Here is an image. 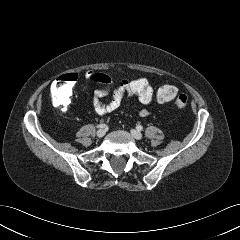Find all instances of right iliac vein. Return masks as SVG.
Here are the masks:
<instances>
[{"mask_svg":"<svg viewBox=\"0 0 240 240\" xmlns=\"http://www.w3.org/2000/svg\"><path fill=\"white\" fill-rule=\"evenodd\" d=\"M96 134L97 137L101 138L106 134V131L104 129H99Z\"/></svg>","mask_w":240,"mask_h":240,"instance_id":"obj_1","label":"right iliac vein"}]
</instances>
